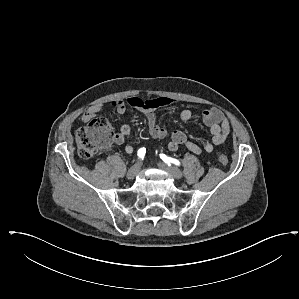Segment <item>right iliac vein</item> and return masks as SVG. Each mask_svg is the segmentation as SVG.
Here are the masks:
<instances>
[{
    "label": "right iliac vein",
    "instance_id": "1",
    "mask_svg": "<svg viewBox=\"0 0 299 299\" xmlns=\"http://www.w3.org/2000/svg\"><path fill=\"white\" fill-rule=\"evenodd\" d=\"M141 168V163L137 162L135 163L127 172V178L129 180H132L136 177V175L139 173Z\"/></svg>",
    "mask_w": 299,
    "mask_h": 299
}]
</instances>
